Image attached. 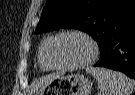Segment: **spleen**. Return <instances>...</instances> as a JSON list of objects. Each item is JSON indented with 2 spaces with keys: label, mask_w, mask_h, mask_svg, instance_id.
Returning a JSON list of instances; mask_svg holds the SVG:
<instances>
[{
  "label": "spleen",
  "mask_w": 135,
  "mask_h": 95,
  "mask_svg": "<svg viewBox=\"0 0 135 95\" xmlns=\"http://www.w3.org/2000/svg\"><path fill=\"white\" fill-rule=\"evenodd\" d=\"M86 72L96 79L102 95H131L135 86V82L121 72L93 67H87Z\"/></svg>",
  "instance_id": "spleen-1"
}]
</instances>
